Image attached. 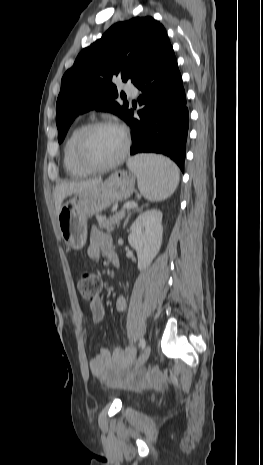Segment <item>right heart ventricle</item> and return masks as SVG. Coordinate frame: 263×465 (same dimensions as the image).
<instances>
[{"mask_svg":"<svg viewBox=\"0 0 263 465\" xmlns=\"http://www.w3.org/2000/svg\"><path fill=\"white\" fill-rule=\"evenodd\" d=\"M83 124L75 126L69 133L63 147V164L67 174L72 178H83L91 172L84 169L75 157V142Z\"/></svg>","mask_w":263,"mask_h":465,"instance_id":"e07e8e85","label":"right heart ventricle"}]
</instances>
